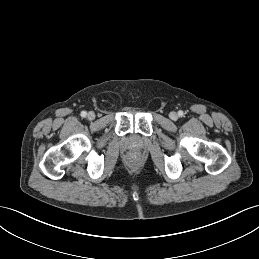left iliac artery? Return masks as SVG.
Instances as JSON below:
<instances>
[{"label": "left iliac artery", "mask_w": 259, "mask_h": 259, "mask_svg": "<svg viewBox=\"0 0 259 259\" xmlns=\"http://www.w3.org/2000/svg\"><path fill=\"white\" fill-rule=\"evenodd\" d=\"M178 115H179V117H182V116H183V111L180 110V111L178 112Z\"/></svg>", "instance_id": "left-iliac-artery-1"}]
</instances>
